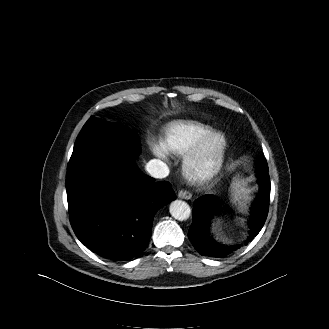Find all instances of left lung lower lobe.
<instances>
[{
  "label": "left lung lower lobe",
  "mask_w": 329,
  "mask_h": 329,
  "mask_svg": "<svg viewBox=\"0 0 329 329\" xmlns=\"http://www.w3.org/2000/svg\"><path fill=\"white\" fill-rule=\"evenodd\" d=\"M257 177L261 183L260 194L252 206V218L248 223L250 234L245 244L260 232L268 214L270 177L266 160L259 161ZM217 212V203L212 195H204L194 202L192 224L188 231V237L196 251L201 255L225 257L239 247L224 246L213 239V236L210 234V223Z\"/></svg>",
  "instance_id": "left-lung-lower-lobe-1"
}]
</instances>
